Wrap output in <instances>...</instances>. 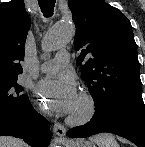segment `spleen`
I'll use <instances>...</instances> for the list:
<instances>
[{
	"instance_id": "obj_1",
	"label": "spleen",
	"mask_w": 145,
	"mask_h": 147,
	"mask_svg": "<svg viewBox=\"0 0 145 147\" xmlns=\"http://www.w3.org/2000/svg\"><path fill=\"white\" fill-rule=\"evenodd\" d=\"M98 147H119L114 136L110 134H100L91 138Z\"/></svg>"
}]
</instances>
